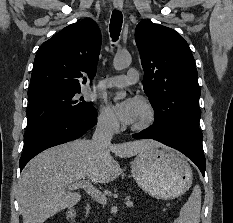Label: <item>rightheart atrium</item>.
I'll return each instance as SVG.
<instances>
[{"label": "right heart atrium", "mask_w": 233, "mask_h": 223, "mask_svg": "<svg viewBox=\"0 0 233 223\" xmlns=\"http://www.w3.org/2000/svg\"><path fill=\"white\" fill-rule=\"evenodd\" d=\"M98 127L108 133H116L119 130V122L109 108L103 107L97 118Z\"/></svg>", "instance_id": "right-heart-atrium-1"}]
</instances>
